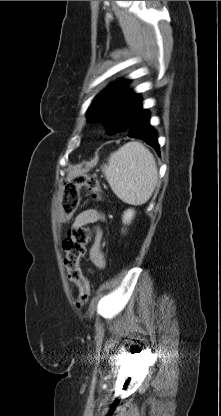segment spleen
Here are the masks:
<instances>
[{"mask_svg":"<svg viewBox=\"0 0 221 416\" xmlns=\"http://www.w3.org/2000/svg\"><path fill=\"white\" fill-rule=\"evenodd\" d=\"M102 171L117 197L131 205L146 203L158 181L154 156L138 141L128 142L113 152Z\"/></svg>","mask_w":221,"mask_h":416,"instance_id":"3e777b00","label":"spleen"}]
</instances>
